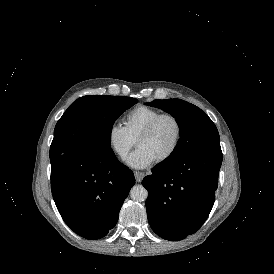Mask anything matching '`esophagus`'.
Here are the masks:
<instances>
[{"label": "esophagus", "mask_w": 274, "mask_h": 274, "mask_svg": "<svg viewBox=\"0 0 274 274\" xmlns=\"http://www.w3.org/2000/svg\"><path fill=\"white\" fill-rule=\"evenodd\" d=\"M134 175H135V179L137 182H141L142 179L144 178L145 176V173L144 172H140V171H135L134 172Z\"/></svg>", "instance_id": "esophagus-1"}]
</instances>
